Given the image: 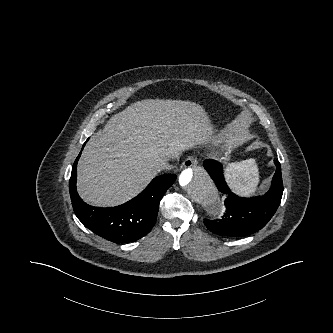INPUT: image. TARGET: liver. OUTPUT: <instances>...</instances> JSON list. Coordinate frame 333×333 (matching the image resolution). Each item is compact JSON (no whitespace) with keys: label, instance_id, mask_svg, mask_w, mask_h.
Instances as JSON below:
<instances>
[{"label":"liver","instance_id":"obj_1","mask_svg":"<svg viewBox=\"0 0 333 333\" xmlns=\"http://www.w3.org/2000/svg\"><path fill=\"white\" fill-rule=\"evenodd\" d=\"M213 126L202 106L146 99L112 116L86 144L78 161L77 190L98 207L121 205L155 177L159 161L177 158L208 140Z\"/></svg>","mask_w":333,"mask_h":333}]
</instances>
